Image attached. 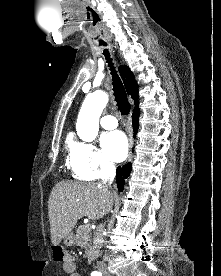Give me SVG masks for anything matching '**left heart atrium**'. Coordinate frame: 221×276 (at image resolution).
<instances>
[{"label": "left heart atrium", "mask_w": 221, "mask_h": 276, "mask_svg": "<svg viewBox=\"0 0 221 276\" xmlns=\"http://www.w3.org/2000/svg\"><path fill=\"white\" fill-rule=\"evenodd\" d=\"M102 147L110 160L121 162L127 156L128 141L124 133L113 131L103 136Z\"/></svg>", "instance_id": "39dd6f15"}]
</instances>
